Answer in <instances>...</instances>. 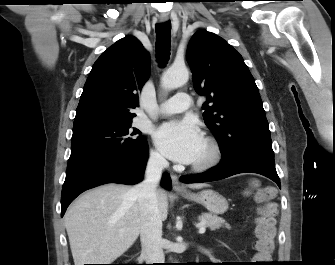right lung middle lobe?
Instances as JSON below:
<instances>
[{"label":"right lung middle lobe","instance_id":"dd1d6c3e","mask_svg":"<svg viewBox=\"0 0 335 265\" xmlns=\"http://www.w3.org/2000/svg\"><path fill=\"white\" fill-rule=\"evenodd\" d=\"M132 120L73 127L69 161L88 155H132L147 144Z\"/></svg>","mask_w":335,"mask_h":265}]
</instances>
